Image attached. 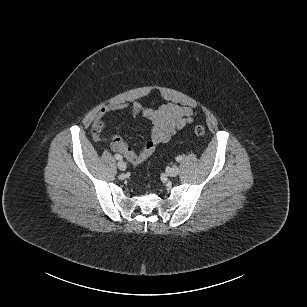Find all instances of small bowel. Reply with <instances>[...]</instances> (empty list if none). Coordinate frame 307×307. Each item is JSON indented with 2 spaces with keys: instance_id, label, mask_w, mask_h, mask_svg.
Listing matches in <instances>:
<instances>
[{
  "instance_id": "obj_1",
  "label": "small bowel",
  "mask_w": 307,
  "mask_h": 307,
  "mask_svg": "<svg viewBox=\"0 0 307 307\" xmlns=\"http://www.w3.org/2000/svg\"><path fill=\"white\" fill-rule=\"evenodd\" d=\"M128 107L126 103L102 107L92 124L93 139L98 142L105 141L102 132L106 116L111 112L123 111ZM130 111L133 116L142 115L151 122V134L139 152H134L126 143L123 150L117 151L132 164H140L148 159L156 151L158 145L168 142L177 132L191 124L196 115L192 108L174 103L165 104L156 109L143 108L139 103H134Z\"/></svg>"
}]
</instances>
